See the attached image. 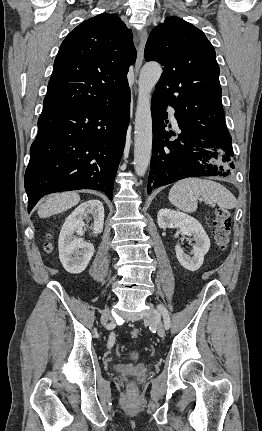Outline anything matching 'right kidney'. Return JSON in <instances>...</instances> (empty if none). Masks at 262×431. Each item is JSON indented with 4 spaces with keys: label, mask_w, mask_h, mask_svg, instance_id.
I'll return each mask as SVG.
<instances>
[{
    "label": "right kidney",
    "mask_w": 262,
    "mask_h": 431,
    "mask_svg": "<svg viewBox=\"0 0 262 431\" xmlns=\"http://www.w3.org/2000/svg\"><path fill=\"white\" fill-rule=\"evenodd\" d=\"M93 219V233L103 230L104 207L99 200H88L80 204L65 220L58 241L59 258L64 269L72 274L83 272L94 254L91 243L78 239L83 235L84 220Z\"/></svg>",
    "instance_id": "ca27d5eb"
}]
</instances>
